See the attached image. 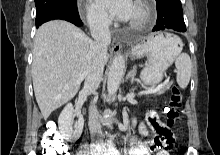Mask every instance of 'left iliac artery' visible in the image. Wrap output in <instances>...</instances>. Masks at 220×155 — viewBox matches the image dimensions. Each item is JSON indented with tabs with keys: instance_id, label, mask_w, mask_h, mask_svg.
Returning <instances> with one entry per match:
<instances>
[{
	"instance_id": "44dca946",
	"label": "left iliac artery",
	"mask_w": 220,
	"mask_h": 155,
	"mask_svg": "<svg viewBox=\"0 0 220 155\" xmlns=\"http://www.w3.org/2000/svg\"><path fill=\"white\" fill-rule=\"evenodd\" d=\"M110 155H121L118 150L113 149Z\"/></svg>"
}]
</instances>
